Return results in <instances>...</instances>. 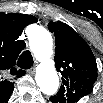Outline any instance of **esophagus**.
<instances>
[{"label": "esophagus", "instance_id": "obj_1", "mask_svg": "<svg viewBox=\"0 0 103 103\" xmlns=\"http://www.w3.org/2000/svg\"><path fill=\"white\" fill-rule=\"evenodd\" d=\"M36 68L33 66L28 70L29 74H34L35 73Z\"/></svg>", "mask_w": 103, "mask_h": 103}]
</instances>
